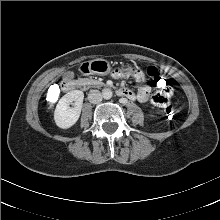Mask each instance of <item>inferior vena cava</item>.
I'll use <instances>...</instances> for the list:
<instances>
[{"label":"inferior vena cava","instance_id":"602c4592","mask_svg":"<svg viewBox=\"0 0 220 220\" xmlns=\"http://www.w3.org/2000/svg\"><path fill=\"white\" fill-rule=\"evenodd\" d=\"M102 98V94L99 90H91L88 94V100L92 104L100 103Z\"/></svg>","mask_w":220,"mask_h":220}]
</instances>
